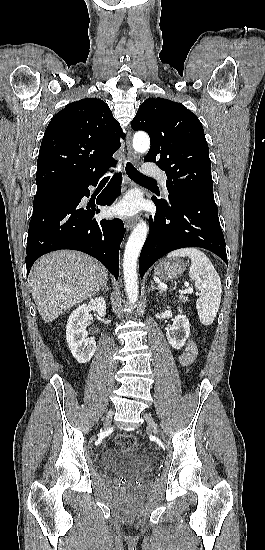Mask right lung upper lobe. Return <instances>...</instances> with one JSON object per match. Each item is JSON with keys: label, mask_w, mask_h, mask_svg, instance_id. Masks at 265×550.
Returning <instances> with one entry per match:
<instances>
[{"label": "right lung upper lobe", "mask_w": 265, "mask_h": 550, "mask_svg": "<svg viewBox=\"0 0 265 550\" xmlns=\"http://www.w3.org/2000/svg\"><path fill=\"white\" fill-rule=\"evenodd\" d=\"M124 138L101 99L72 102L50 121L37 160L36 184L71 187L101 176L116 164L112 155Z\"/></svg>", "instance_id": "right-lung-upper-lobe-1"}]
</instances>
